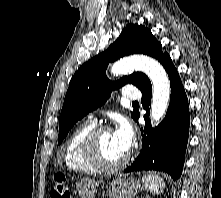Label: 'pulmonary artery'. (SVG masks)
<instances>
[{"label": "pulmonary artery", "instance_id": "e3ab8cb5", "mask_svg": "<svg viewBox=\"0 0 221 198\" xmlns=\"http://www.w3.org/2000/svg\"><path fill=\"white\" fill-rule=\"evenodd\" d=\"M122 94L125 98L131 99V100H137V99H140V97H141L140 91L136 88H133V87L124 88ZM89 119L92 122L95 121V118L93 117V115H89Z\"/></svg>", "mask_w": 221, "mask_h": 198}]
</instances>
